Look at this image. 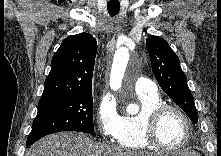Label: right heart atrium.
<instances>
[{
  "instance_id": "1",
  "label": "right heart atrium",
  "mask_w": 221,
  "mask_h": 156,
  "mask_svg": "<svg viewBox=\"0 0 221 156\" xmlns=\"http://www.w3.org/2000/svg\"><path fill=\"white\" fill-rule=\"evenodd\" d=\"M120 117L115 99L106 92L102 93L96 106L95 120L103 139L109 141L116 139Z\"/></svg>"
}]
</instances>
